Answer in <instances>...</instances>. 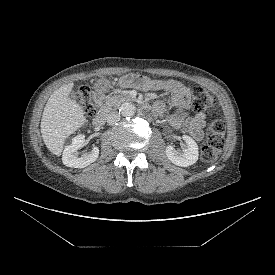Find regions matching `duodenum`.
<instances>
[{"instance_id":"duodenum-1","label":"duodenum","mask_w":275,"mask_h":275,"mask_svg":"<svg viewBox=\"0 0 275 275\" xmlns=\"http://www.w3.org/2000/svg\"><path fill=\"white\" fill-rule=\"evenodd\" d=\"M95 97H96V99L99 100L101 97L100 93L97 92ZM142 109L146 113L150 112V106L148 104H143ZM106 117H107V112L105 110L99 111L93 119L94 126H96V127L103 126L106 121Z\"/></svg>"}]
</instances>
